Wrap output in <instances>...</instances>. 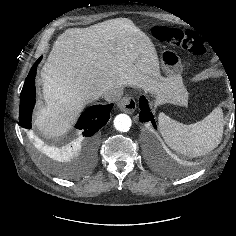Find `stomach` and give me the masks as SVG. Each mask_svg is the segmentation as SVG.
Here are the masks:
<instances>
[{
    "label": "stomach",
    "mask_w": 236,
    "mask_h": 236,
    "mask_svg": "<svg viewBox=\"0 0 236 236\" xmlns=\"http://www.w3.org/2000/svg\"><path fill=\"white\" fill-rule=\"evenodd\" d=\"M160 67L165 78L170 81L174 87L180 89L182 96L187 100V92L180 86L183 66L178 54L173 50H163L160 54Z\"/></svg>",
    "instance_id": "stomach-1"
}]
</instances>
